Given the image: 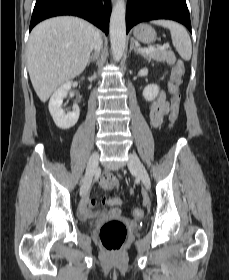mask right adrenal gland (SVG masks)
I'll use <instances>...</instances> for the list:
<instances>
[{
    "instance_id": "2a0ac1e0",
    "label": "right adrenal gland",
    "mask_w": 229,
    "mask_h": 280,
    "mask_svg": "<svg viewBox=\"0 0 229 280\" xmlns=\"http://www.w3.org/2000/svg\"><path fill=\"white\" fill-rule=\"evenodd\" d=\"M99 54L95 52L88 60L87 65H89L91 62H95L98 60Z\"/></svg>"
}]
</instances>
